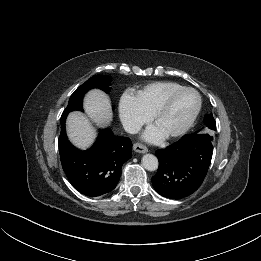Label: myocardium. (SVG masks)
<instances>
[{"label": "myocardium", "instance_id": "obj_1", "mask_svg": "<svg viewBox=\"0 0 261 261\" xmlns=\"http://www.w3.org/2000/svg\"><path fill=\"white\" fill-rule=\"evenodd\" d=\"M187 91H190V92H193L196 94L197 99H198L197 106H196L193 114L189 118V120L180 129L164 135V137L166 139H173V138L180 137V136L184 135L193 126V124L195 123V121L201 111V107H202V97H201L200 93L196 89L191 88V87H182L180 89L172 91L163 99V101L159 104V106L155 109V111L151 115V121L155 125L157 120L167 110L171 101L179 94H181L183 92H187Z\"/></svg>", "mask_w": 261, "mask_h": 261}]
</instances>
